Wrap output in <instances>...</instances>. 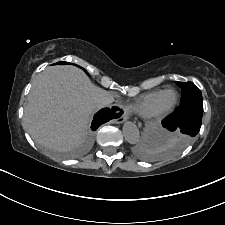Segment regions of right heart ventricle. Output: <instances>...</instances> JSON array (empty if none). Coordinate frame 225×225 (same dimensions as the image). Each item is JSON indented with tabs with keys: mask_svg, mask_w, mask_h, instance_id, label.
Wrapping results in <instances>:
<instances>
[{
	"mask_svg": "<svg viewBox=\"0 0 225 225\" xmlns=\"http://www.w3.org/2000/svg\"><path fill=\"white\" fill-rule=\"evenodd\" d=\"M161 91H153L142 95L134 104L133 109L141 115H146Z\"/></svg>",
	"mask_w": 225,
	"mask_h": 225,
	"instance_id": "right-heart-ventricle-1",
	"label": "right heart ventricle"
}]
</instances>
